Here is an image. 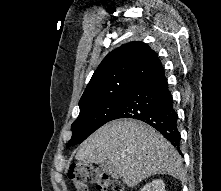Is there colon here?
Segmentation results:
<instances>
[{
	"instance_id": "1",
	"label": "colon",
	"mask_w": 221,
	"mask_h": 191,
	"mask_svg": "<svg viewBox=\"0 0 221 191\" xmlns=\"http://www.w3.org/2000/svg\"><path fill=\"white\" fill-rule=\"evenodd\" d=\"M68 178L76 191H89V183L94 184L97 191H124L121 181L111 178L98 168L86 163L72 165Z\"/></svg>"
}]
</instances>
